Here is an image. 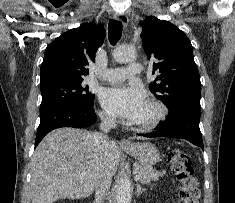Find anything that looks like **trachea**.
I'll list each match as a JSON object with an SVG mask.
<instances>
[{
	"label": "trachea",
	"instance_id": "trachea-1",
	"mask_svg": "<svg viewBox=\"0 0 235 203\" xmlns=\"http://www.w3.org/2000/svg\"><path fill=\"white\" fill-rule=\"evenodd\" d=\"M122 35V22L111 19L108 25V38L111 45H115Z\"/></svg>",
	"mask_w": 235,
	"mask_h": 203
}]
</instances>
